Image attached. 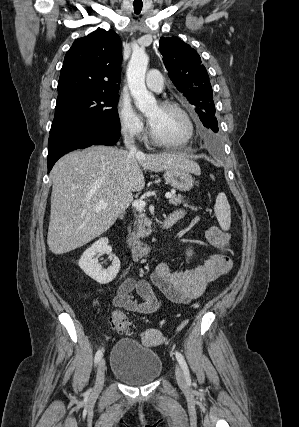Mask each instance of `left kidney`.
Wrapping results in <instances>:
<instances>
[{"mask_svg":"<svg viewBox=\"0 0 299 427\" xmlns=\"http://www.w3.org/2000/svg\"><path fill=\"white\" fill-rule=\"evenodd\" d=\"M188 256H191L192 255V251H190V252H188V254H187Z\"/></svg>","mask_w":299,"mask_h":427,"instance_id":"obj_1","label":"left kidney"}]
</instances>
